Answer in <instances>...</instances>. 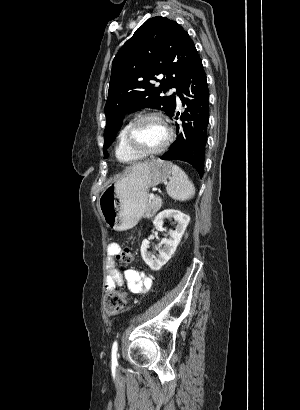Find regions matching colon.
<instances>
[{"instance_id":"colon-1","label":"colon","mask_w":300,"mask_h":410,"mask_svg":"<svg viewBox=\"0 0 300 410\" xmlns=\"http://www.w3.org/2000/svg\"><path fill=\"white\" fill-rule=\"evenodd\" d=\"M116 259L120 263H130L134 259L133 252L129 247L121 248L116 255ZM126 304V294L123 292L111 291L104 297V310L107 315L113 316L118 314Z\"/></svg>"}]
</instances>
